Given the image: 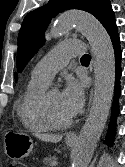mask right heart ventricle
Listing matches in <instances>:
<instances>
[{"instance_id": "1", "label": "right heart ventricle", "mask_w": 125, "mask_h": 167, "mask_svg": "<svg viewBox=\"0 0 125 167\" xmlns=\"http://www.w3.org/2000/svg\"><path fill=\"white\" fill-rule=\"evenodd\" d=\"M48 82L31 77L26 91L17 107L20 123L29 131L37 134L49 132L50 126L41 111L42 98Z\"/></svg>"}]
</instances>
